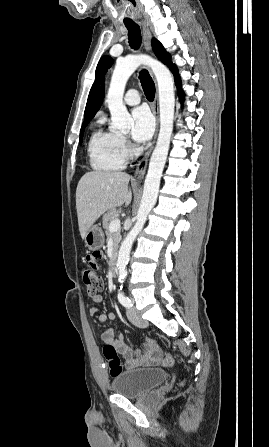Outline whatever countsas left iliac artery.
I'll return each instance as SVG.
<instances>
[{"label": "left iliac artery", "instance_id": "left-iliac-artery-1", "mask_svg": "<svg viewBox=\"0 0 269 447\" xmlns=\"http://www.w3.org/2000/svg\"><path fill=\"white\" fill-rule=\"evenodd\" d=\"M121 290H122V285L120 286V290H119V293H118V300H119V302H120L124 307H132V306H133L132 301H131L128 297H126V296L124 295V293L121 292Z\"/></svg>", "mask_w": 269, "mask_h": 447}]
</instances>
